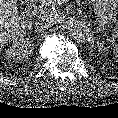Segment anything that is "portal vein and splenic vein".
I'll return each instance as SVG.
<instances>
[{
    "mask_svg": "<svg viewBox=\"0 0 118 118\" xmlns=\"http://www.w3.org/2000/svg\"><path fill=\"white\" fill-rule=\"evenodd\" d=\"M52 3V1L51 0H49V4H51ZM113 36H118V33H116V35H113Z\"/></svg>",
    "mask_w": 118,
    "mask_h": 118,
    "instance_id": "portal-vein-and-splenic-vein-1",
    "label": "portal vein and splenic vein"
}]
</instances>
